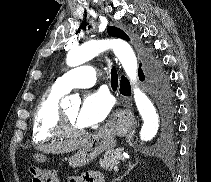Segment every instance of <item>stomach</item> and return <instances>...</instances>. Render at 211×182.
I'll return each mask as SVG.
<instances>
[{"instance_id": "0dacf381", "label": "stomach", "mask_w": 211, "mask_h": 182, "mask_svg": "<svg viewBox=\"0 0 211 182\" xmlns=\"http://www.w3.org/2000/svg\"><path fill=\"white\" fill-rule=\"evenodd\" d=\"M115 145V131L105 129L91 136L88 142L69 158V166L73 168L83 167L93 161L99 154L111 150ZM36 160L42 158L35 155Z\"/></svg>"}]
</instances>
